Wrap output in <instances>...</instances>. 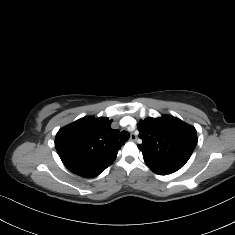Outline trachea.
Listing matches in <instances>:
<instances>
[{
    "label": "trachea",
    "mask_w": 235,
    "mask_h": 235,
    "mask_svg": "<svg viewBox=\"0 0 235 235\" xmlns=\"http://www.w3.org/2000/svg\"><path fill=\"white\" fill-rule=\"evenodd\" d=\"M130 138V134L127 131H122L120 133V140L126 142Z\"/></svg>",
    "instance_id": "trachea-1"
}]
</instances>
